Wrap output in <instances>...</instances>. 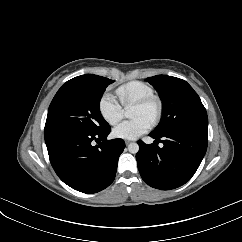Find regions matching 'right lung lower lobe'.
Segmentation results:
<instances>
[{"instance_id":"1","label":"right lung lower lobe","mask_w":242,"mask_h":242,"mask_svg":"<svg viewBox=\"0 0 242 242\" xmlns=\"http://www.w3.org/2000/svg\"><path fill=\"white\" fill-rule=\"evenodd\" d=\"M111 128L93 133L72 127L45 132V143L53 169L71 188L83 193H96L114 180L123 139L107 140ZM100 141L94 146L93 141Z\"/></svg>"}]
</instances>
